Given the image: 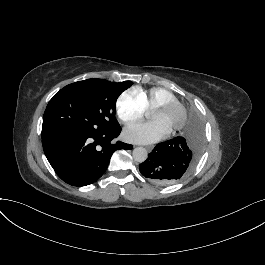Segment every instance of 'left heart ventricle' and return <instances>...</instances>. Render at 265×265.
I'll use <instances>...</instances> for the list:
<instances>
[{
  "instance_id": "obj_1",
  "label": "left heart ventricle",
  "mask_w": 265,
  "mask_h": 265,
  "mask_svg": "<svg viewBox=\"0 0 265 265\" xmlns=\"http://www.w3.org/2000/svg\"><path fill=\"white\" fill-rule=\"evenodd\" d=\"M180 110L177 106L170 107L166 110L152 111L150 119L161 123L167 129L178 119Z\"/></svg>"
}]
</instances>
